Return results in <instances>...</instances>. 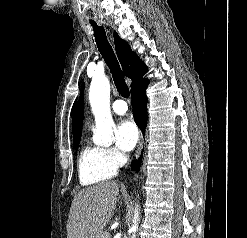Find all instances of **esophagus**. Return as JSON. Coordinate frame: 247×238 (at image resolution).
Returning <instances> with one entry per match:
<instances>
[{
    "instance_id": "obj_1",
    "label": "esophagus",
    "mask_w": 247,
    "mask_h": 238,
    "mask_svg": "<svg viewBox=\"0 0 247 238\" xmlns=\"http://www.w3.org/2000/svg\"><path fill=\"white\" fill-rule=\"evenodd\" d=\"M142 144H143V135H142V133H141V135H140V140H139V145H138L137 156L139 155V153H140V151H141ZM137 156H136V157H137Z\"/></svg>"
}]
</instances>
